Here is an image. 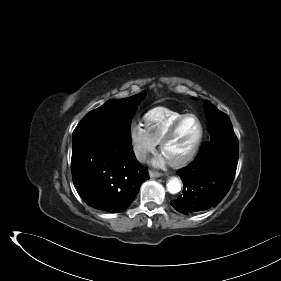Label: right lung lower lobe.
<instances>
[{"label": "right lung lower lobe", "mask_w": 281, "mask_h": 281, "mask_svg": "<svg viewBox=\"0 0 281 281\" xmlns=\"http://www.w3.org/2000/svg\"><path fill=\"white\" fill-rule=\"evenodd\" d=\"M74 186L89 206L105 212H121L149 179L137 161L131 144L87 145L72 150Z\"/></svg>", "instance_id": "1"}]
</instances>
